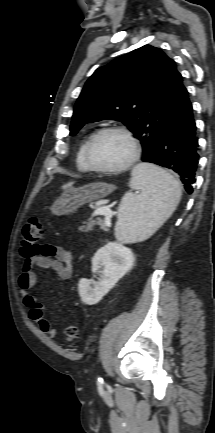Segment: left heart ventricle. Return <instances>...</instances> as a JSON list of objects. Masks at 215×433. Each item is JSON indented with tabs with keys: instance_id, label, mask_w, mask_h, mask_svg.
Listing matches in <instances>:
<instances>
[{
	"instance_id": "obj_1",
	"label": "left heart ventricle",
	"mask_w": 215,
	"mask_h": 433,
	"mask_svg": "<svg viewBox=\"0 0 215 433\" xmlns=\"http://www.w3.org/2000/svg\"><path fill=\"white\" fill-rule=\"evenodd\" d=\"M131 154L128 140L118 133H108L101 136L93 145L91 158L95 165L114 168L127 161Z\"/></svg>"
}]
</instances>
